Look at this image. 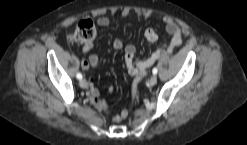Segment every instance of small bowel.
I'll use <instances>...</instances> for the list:
<instances>
[{
    "label": "small bowel",
    "instance_id": "small-bowel-1",
    "mask_svg": "<svg viewBox=\"0 0 247 145\" xmlns=\"http://www.w3.org/2000/svg\"><path fill=\"white\" fill-rule=\"evenodd\" d=\"M123 15H127L123 12ZM97 25L99 27H107L110 25V20L106 16H101L97 19ZM162 23L165 26L166 31L171 35V40L168 44L161 45L158 47L150 57L142 61H135V47L132 44H127L125 47L120 39H115L113 41V48L120 50L124 47V58L128 73L134 77V81L138 83L147 75V70L162 56L166 53H171L174 48L182 44V31L180 26L171 17H164ZM145 38L149 42H155L158 39V34L153 28H147L145 30ZM93 48L92 43L85 44L82 48L84 53H88ZM100 64V59L96 54H91L88 58H83L81 60V67L83 70H89L91 67H97ZM87 84L89 86V92L87 97L91 104L98 110L108 113V119L113 123L120 122L126 117L127 112L125 110L110 114L108 106L104 100L101 99L98 90L95 86V78L89 76L87 78ZM113 91V86L108 87V92Z\"/></svg>",
    "mask_w": 247,
    "mask_h": 145
}]
</instances>
